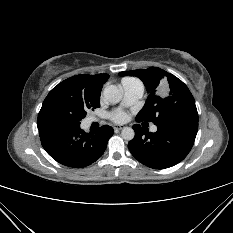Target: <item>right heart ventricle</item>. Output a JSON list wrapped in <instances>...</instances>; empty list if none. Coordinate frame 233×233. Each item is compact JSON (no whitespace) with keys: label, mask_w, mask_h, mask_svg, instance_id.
I'll return each instance as SVG.
<instances>
[{"label":"right heart ventricle","mask_w":233,"mask_h":233,"mask_svg":"<svg viewBox=\"0 0 233 233\" xmlns=\"http://www.w3.org/2000/svg\"><path fill=\"white\" fill-rule=\"evenodd\" d=\"M135 79H133V78H124L123 80H122V83H124V82H130V81H134Z\"/></svg>","instance_id":"e07e8e85"}]
</instances>
